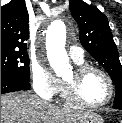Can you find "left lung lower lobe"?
Listing matches in <instances>:
<instances>
[{"label":"left lung lower lobe","instance_id":"obj_1","mask_svg":"<svg viewBox=\"0 0 122 123\" xmlns=\"http://www.w3.org/2000/svg\"><path fill=\"white\" fill-rule=\"evenodd\" d=\"M113 108L122 110V103H115V104L113 105Z\"/></svg>","mask_w":122,"mask_h":123}]
</instances>
